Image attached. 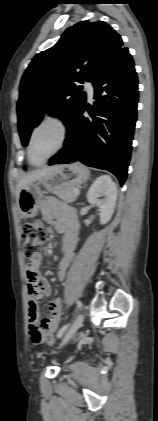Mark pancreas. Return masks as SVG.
<instances>
[{
  "instance_id": "obj_1",
  "label": "pancreas",
  "mask_w": 158,
  "mask_h": 421,
  "mask_svg": "<svg viewBox=\"0 0 158 421\" xmlns=\"http://www.w3.org/2000/svg\"><path fill=\"white\" fill-rule=\"evenodd\" d=\"M75 187H69L61 190L54 191L53 194H55L57 197H59L61 200H63L66 203H72L77 199V195L74 194Z\"/></svg>"
}]
</instances>
